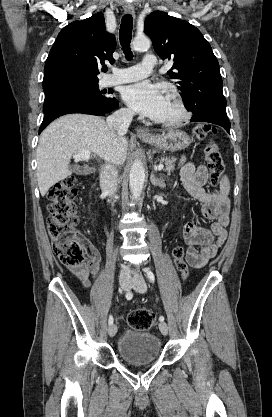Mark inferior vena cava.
Listing matches in <instances>:
<instances>
[{"label": "inferior vena cava", "instance_id": "inferior-vena-cava-1", "mask_svg": "<svg viewBox=\"0 0 272 417\" xmlns=\"http://www.w3.org/2000/svg\"><path fill=\"white\" fill-rule=\"evenodd\" d=\"M133 114V111L130 109H119L107 117V125L113 131L126 133L132 121ZM117 178L118 172L113 164L108 163L101 168L100 187L101 190L107 193L110 197H112L117 191ZM129 274V266L122 265L121 276H128Z\"/></svg>", "mask_w": 272, "mask_h": 417}]
</instances>
